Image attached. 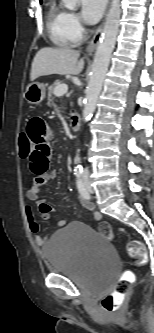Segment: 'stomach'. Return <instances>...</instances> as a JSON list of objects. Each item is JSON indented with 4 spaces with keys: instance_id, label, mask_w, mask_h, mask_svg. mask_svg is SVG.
Segmentation results:
<instances>
[{
    "instance_id": "stomach-1",
    "label": "stomach",
    "mask_w": 154,
    "mask_h": 333,
    "mask_svg": "<svg viewBox=\"0 0 154 333\" xmlns=\"http://www.w3.org/2000/svg\"><path fill=\"white\" fill-rule=\"evenodd\" d=\"M24 97L30 104H40L45 98V85L38 82L29 84L24 93Z\"/></svg>"
}]
</instances>
